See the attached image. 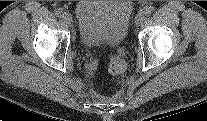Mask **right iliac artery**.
Instances as JSON below:
<instances>
[{
	"label": "right iliac artery",
	"instance_id": "obj_1",
	"mask_svg": "<svg viewBox=\"0 0 207 121\" xmlns=\"http://www.w3.org/2000/svg\"><path fill=\"white\" fill-rule=\"evenodd\" d=\"M55 14L58 16V17H63L64 14H65V11L62 9V8H58L55 10Z\"/></svg>",
	"mask_w": 207,
	"mask_h": 121
}]
</instances>
